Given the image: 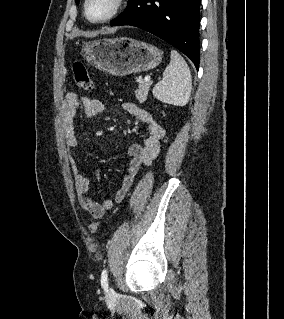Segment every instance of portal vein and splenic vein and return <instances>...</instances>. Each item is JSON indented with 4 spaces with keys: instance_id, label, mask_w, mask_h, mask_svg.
<instances>
[{
    "instance_id": "18ae733b",
    "label": "portal vein and splenic vein",
    "mask_w": 284,
    "mask_h": 319,
    "mask_svg": "<svg viewBox=\"0 0 284 319\" xmlns=\"http://www.w3.org/2000/svg\"><path fill=\"white\" fill-rule=\"evenodd\" d=\"M144 81H145V82H150V81H151L150 76H146L145 79H144Z\"/></svg>"
}]
</instances>
